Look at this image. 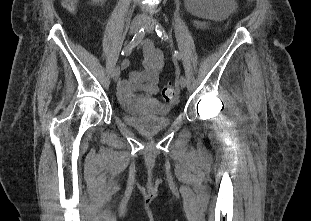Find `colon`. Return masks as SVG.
<instances>
[{
    "label": "colon",
    "mask_w": 311,
    "mask_h": 221,
    "mask_svg": "<svg viewBox=\"0 0 311 221\" xmlns=\"http://www.w3.org/2000/svg\"><path fill=\"white\" fill-rule=\"evenodd\" d=\"M62 6L71 14H75L78 9L79 0H61ZM141 93V90H138ZM178 95L177 87L174 83H167L163 86L162 97L167 102H172ZM138 97V94H135Z\"/></svg>",
    "instance_id": "colon-1"
}]
</instances>
